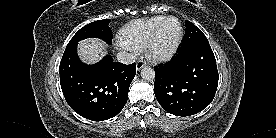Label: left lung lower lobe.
<instances>
[{"instance_id": "left-lung-lower-lobe-1", "label": "left lung lower lobe", "mask_w": 276, "mask_h": 138, "mask_svg": "<svg viewBox=\"0 0 276 138\" xmlns=\"http://www.w3.org/2000/svg\"><path fill=\"white\" fill-rule=\"evenodd\" d=\"M218 78L209 42H201L179 50L172 61L155 67L154 93L168 113L190 116L211 103Z\"/></svg>"}]
</instances>
